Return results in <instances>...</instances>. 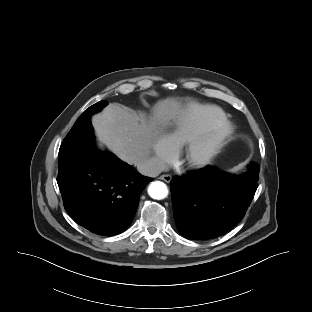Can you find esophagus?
I'll return each instance as SVG.
<instances>
[{
  "label": "esophagus",
  "mask_w": 312,
  "mask_h": 312,
  "mask_svg": "<svg viewBox=\"0 0 312 312\" xmlns=\"http://www.w3.org/2000/svg\"><path fill=\"white\" fill-rule=\"evenodd\" d=\"M159 179H161V180H163V181L169 183V182L171 181L172 177H171V175H169V174H164V175H161V176L159 177Z\"/></svg>",
  "instance_id": "esophagus-1"
}]
</instances>
